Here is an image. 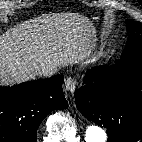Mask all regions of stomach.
Instances as JSON below:
<instances>
[{"label":"stomach","mask_w":142,"mask_h":142,"mask_svg":"<svg viewBox=\"0 0 142 142\" xmlns=\"http://www.w3.org/2000/svg\"><path fill=\"white\" fill-rule=\"evenodd\" d=\"M88 32H89V35L92 36L94 34V28L92 25H89L88 27Z\"/></svg>","instance_id":"stomach-1"}]
</instances>
